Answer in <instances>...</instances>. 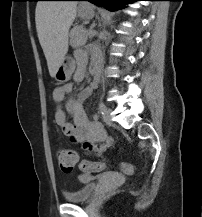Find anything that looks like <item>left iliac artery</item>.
Instances as JSON below:
<instances>
[{
	"mask_svg": "<svg viewBox=\"0 0 202 217\" xmlns=\"http://www.w3.org/2000/svg\"><path fill=\"white\" fill-rule=\"evenodd\" d=\"M105 110H106L105 104L102 103V102L99 103V111H100L102 114H104Z\"/></svg>",
	"mask_w": 202,
	"mask_h": 217,
	"instance_id": "44dca946",
	"label": "left iliac artery"
}]
</instances>
